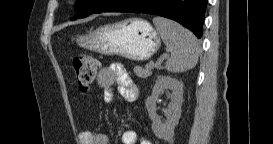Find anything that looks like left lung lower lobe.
Wrapping results in <instances>:
<instances>
[{
  "mask_svg": "<svg viewBox=\"0 0 273 144\" xmlns=\"http://www.w3.org/2000/svg\"><path fill=\"white\" fill-rule=\"evenodd\" d=\"M207 0H104L95 13L131 12L164 16L202 37Z\"/></svg>",
  "mask_w": 273,
  "mask_h": 144,
  "instance_id": "0a47b994",
  "label": "left lung lower lobe"
}]
</instances>
